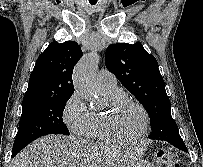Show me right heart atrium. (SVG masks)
<instances>
[{"label": "right heart atrium", "mask_w": 203, "mask_h": 167, "mask_svg": "<svg viewBox=\"0 0 203 167\" xmlns=\"http://www.w3.org/2000/svg\"><path fill=\"white\" fill-rule=\"evenodd\" d=\"M90 117V110L78 92H73L64 104L62 119L69 131L82 135Z\"/></svg>", "instance_id": "right-heart-atrium-1"}]
</instances>
